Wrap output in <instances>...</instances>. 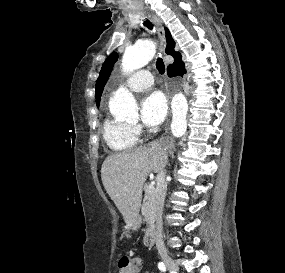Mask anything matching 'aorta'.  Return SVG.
<instances>
[{
    "instance_id": "aorta-1",
    "label": "aorta",
    "mask_w": 285,
    "mask_h": 273,
    "mask_svg": "<svg viewBox=\"0 0 285 273\" xmlns=\"http://www.w3.org/2000/svg\"><path fill=\"white\" fill-rule=\"evenodd\" d=\"M156 52L155 44L152 41H142L127 47L122 58V70L130 73L147 65ZM173 136L181 137L187 128L186 115L188 111L187 99L182 93L174 95L171 103ZM110 113L120 119L138 117V106L131 93L125 89L118 90L109 100Z\"/></svg>"
}]
</instances>
